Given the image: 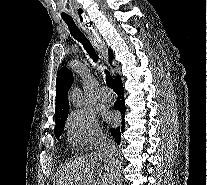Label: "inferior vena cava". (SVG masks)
<instances>
[{"label":"inferior vena cava","instance_id":"602c4592","mask_svg":"<svg viewBox=\"0 0 207 185\" xmlns=\"http://www.w3.org/2000/svg\"><path fill=\"white\" fill-rule=\"evenodd\" d=\"M111 163H116V165H119V161H117L116 157H112ZM113 179H114V177L112 175V177H110V185H113V183H114Z\"/></svg>","mask_w":207,"mask_h":185}]
</instances>
